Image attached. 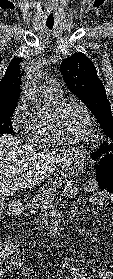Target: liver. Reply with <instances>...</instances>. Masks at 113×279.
Instances as JSON below:
<instances>
[{
  "mask_svg": "<svg viewBox=\"0 0 113 279\" xmlns=\"http://www.w3.org/2000/svg\"><path fill=\"white\" fill-rule=\"evenodd\" d=\"M72 150L40 151L23 145L19 138L0 135V205L19 188H30L49 177ZM18 171L21 177L16 178Z\"/></svg>",
  "mask_w": 113,
  "mask_h": 279,
  "instance_id": "1",
  "label": "liver"
}]
</instances>
